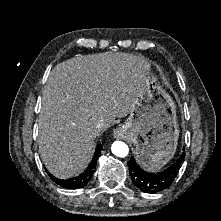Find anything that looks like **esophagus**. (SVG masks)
I'll list each match as a JSON object with an SVG mask.
<instances>
[{"mask_svg": "<svg viewBox=\"0 0 221 221\" xmlns=\"http://www.w3.org/2000/svg\"><path fill=\"white\" fill-rule=\"evenodd\" d=\"M113 135L115 138H124L126 137L124 127H118L113 131Z\"/></svg>", "mask_w": 221, "mask_h": 221, "instance_id": "1", "label": "esophagus"}]
</instances>
